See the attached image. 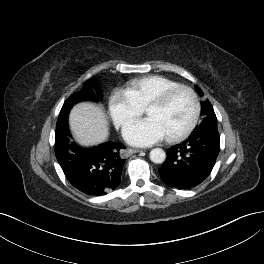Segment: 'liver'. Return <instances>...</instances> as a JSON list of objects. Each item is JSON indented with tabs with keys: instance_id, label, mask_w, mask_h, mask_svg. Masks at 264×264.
Masks as SVG:
<instances>
[{
	"instance_id": "obj_1",
	"label": "liver",
	"mask_w": 264,
	"mask_h": 264,
	"mask_svg": "<svg viewBox=\"0 0 264 264\" xmlns=\"http://www.w3.org/2000/svg\"><path fill=\"white\" fill-rule=\"evenodd\" d=\"M69 125L76 140L86 146L104 142L109 134L104 111L88 102L73 107L69 114Z\"/></svg>"
}]
</instances>
